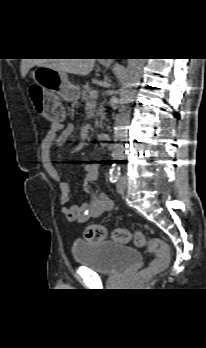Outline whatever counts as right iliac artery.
I'll return each mask as SVG.
<instances>
[{
	"instance_id": "obj_1",
	"label": "right iliac artery",
	"mask_w": 206,
	"mask_h": 348,
	"mask_svg": "<svg viewBox=\"0 0 206 348\" xmlns=\"http://www.w3.org/2000/svg\"><path fill=\"white\" fill-rule=\"evenodd\" d=\"M120 178V168L115 167L110 170V181L116 182Z\"/></svg>"
}]
</instances>
